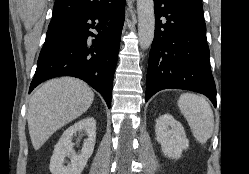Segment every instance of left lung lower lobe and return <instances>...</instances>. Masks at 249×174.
Returning <instances> with one entry per match:
<instances>
[{
    "label": "left lung lower lobe",
    "instance_id": "left-lung-lower-lobe-1",
    "mask_svg": "<svg viewBox=\"0 0 249 174\" xmlns=\"http://www.w3.org/2000/svg\"><path fill=\"white\" fill-rule=\"evenodd\" d=\"M156 16L146 83L145 100L172 88L206 95L216 106L204 19L173 0H154Z\"/></svg>",
    "mask_w": 249,
    "mask_h": 174
}]
</instances>
